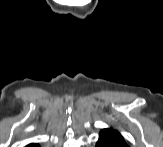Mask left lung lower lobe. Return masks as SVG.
<instances>
[{
  "instance_id": "left-lung-lower-lobe-1",
  "label": "left lung lower lobe",
  "mask_w": 163,
  "mask_h": 147,
  "mask_svg": "<svg viewBox=\"0 0 163 147\" xmlns=\"http://www.w3.org/2000/svg\"><path fill=\"white\" fill-rule=\"evenodd\" d=\"M96 147H128L121 134L112 128L102 129Z\"/></svg>"
}]
</instances>
